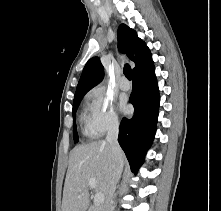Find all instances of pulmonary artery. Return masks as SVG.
<instances>
[{"instance_id": "1", "label": "pulmonary artery", "mask_w": 221, "mask_h": 211, "mask_svg": "<svg viewBox=\"0 0 221 211\" xmlns=\"http://www.w3.org/2000/svg\"><path fill=\"white\" fill-rule=\"evenodd\" d=\"M119 87L121 90L127 91L130 89V84L125 77H122L119 81Z\"/></svg>"}]
</instances>
